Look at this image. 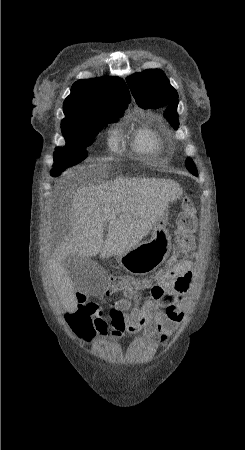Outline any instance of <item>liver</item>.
<instances>
[{
    "mask_svg": "<svg viewBox=\"0 0 245 450\" xmlns=\"http://www.w3.org/2000/svg\"><path fill=\"white\" fill-rule=\"evenodd\" d=\"M182 195L177 182L156 178L118 177L82 186L69 209L72 230L49 260L54 287L69 312L77 310L73 281L66 262L72 257L119 256L138 246L170 202ZM108 234L103 237V224Z\"/></svg>",
    "mask_w": 245,
    "mask_h": 450,
    "instance_id": "obj_1",
    "label": "liver"
}]
</instances>
